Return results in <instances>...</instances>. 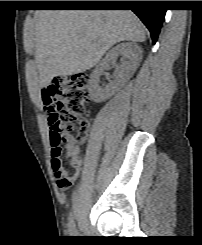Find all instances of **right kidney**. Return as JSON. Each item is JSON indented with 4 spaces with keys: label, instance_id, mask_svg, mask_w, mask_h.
<instances>
[{
    "label": "right kidney",
    "instance_id": "right-kidney-1",
    "mask_svg": "<svg viewBox=\"0 0 202 245\" xmlns=\"http://www.w3.org/2000/svg\"><path fill=\"white\" fill-rule=\"evenodd\" d=\"M119 56L124 61L116 67V80L111 86L99 85L100 76L109 64L115 63ZM142 59V49L132 42L121 43L112 48L95 67L89 79V93L92 100L102 102L110 98L116 89L123 85L137 70Z\"/></svg>",
    "mask_w": 202,
    "mask_h": 245
}]
</instances>
